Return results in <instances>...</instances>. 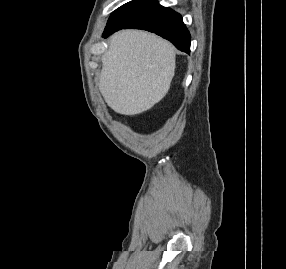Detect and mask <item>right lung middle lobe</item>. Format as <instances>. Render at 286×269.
Masks as SVG:
<instances>
[{"instance_id": "1", "label": "right lung middle lobe", "mask_w": 286, "mask_h": 269, "mask_svg": "<svg viewBox=\"0 0 286 269\" xmlns=\"http://www.w3.org/2000/svg\"><path fill=\"white\" fill-rule=\"evenodd\" d=\"M158 5L157 0H133L116 9L105 30L121 28Z\"/></svg>"}]
</instances>
